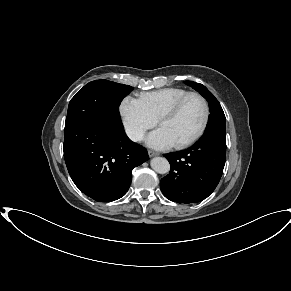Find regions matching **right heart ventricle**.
<instances>
[{
	"label": "right heart ventricle",
	"instance_id": "e07e8e85",
	"mask_svg": "<svg viewBox=\"0 0 291 291\" xmlns=\"http://www.w3.org/2000/svg\"><path fill=\"white\" fill-rule=\"evenodd\" d=\"M188 93L189 91L182 88H163L141 93L139 100L148 114L157 120L161 114Z\"/></svg>",
	"mask_w": 291,
	"mask_h": 291
}]
</instances>
